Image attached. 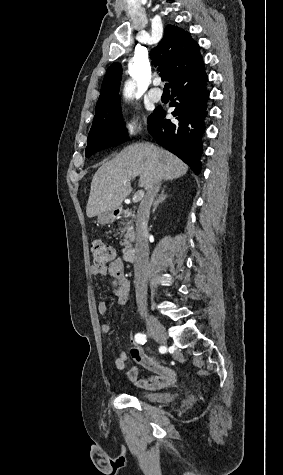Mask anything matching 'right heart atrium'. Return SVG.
<instances>
[{"instance_id": "d8ad5b80", "label": "right heart atrium", "mask_w": 283, "mask_h": 475, "mask_svg": "<svg viewBox=\"0 0 283 475\" xmlns=\"http://www.w3.org/2000/svg\"><path fill=\"white\" fill-rule=\"evenodd\" d=\"M144 130V124L140 117L129 116L120 125L119 131L124 135H136Z\"/></svg>"}]
</instances>
